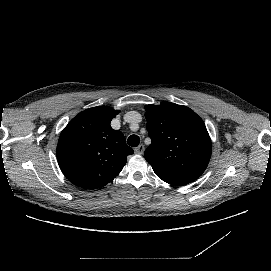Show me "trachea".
<instances>
[{
    "instance_id": "trachea-1",
    "label": "trachea",
    "mask_w": 271,
    "mask_h": 271,
    "mask_svg": "<svg viewBox=\"0 0 271 271\" xmlns=\"http://www.w3.org/2000/svg\"><path fill=\"white\" fill-rule=\"evenodd\" d=\"M128 145L137 147L140 143V138L137 135H131L127 140Z\"/></svg>"
}]
</instances>
